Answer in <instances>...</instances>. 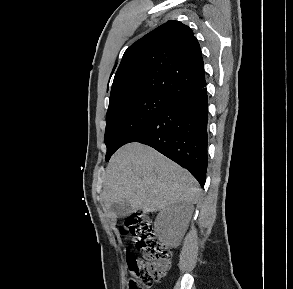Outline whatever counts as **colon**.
I'll return each instance as SVG.
<instances>
[{"label":"colon","instance_id":"obj_1","mask_svg":"<svg viewBox=\"0 0 293 289\" xmlns=\"http://www.w3.org/2000/svg\"><path fill=\"white\" fill-rule=\"evenodd\" d=\"M124 236L133 238L143 258L127 254L130 270L129 289H151L165 274L171 261V252L156 239L153 221L146 215L127 217L121 228Z\"/></svg>","mask_w":293,"mask_h":289}]
</instances>
